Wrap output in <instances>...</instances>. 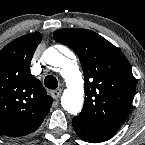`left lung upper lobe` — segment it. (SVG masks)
Instances as JSON below:
<instances>
[{
	"instance_id": "obj_1",
	"label": "left lung upper lobe",
	"mask_w": 145,
	"mask_h": 145,
	"mask_svg": "<svg viewBox=\"0 0 145 145\" xmlns=\"http://www.w3.org/2000/svg\"><path fill=\"white\" fill-rule=\"evenodd\" d=\"M53 36L78 55L83 68L86 98L77 117L97 128L116 132L130 112L136 89L127 58L91 30L65 28Z\"/></svg>"
}]
</instances>
